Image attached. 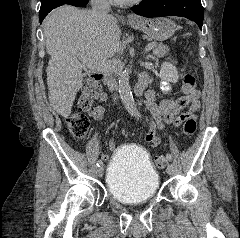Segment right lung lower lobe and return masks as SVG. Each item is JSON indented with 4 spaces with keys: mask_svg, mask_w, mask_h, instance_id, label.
Listing matches in <instances>:
<instances>
[{
    "mask_svg": "<svg viewBox=\"0 0 240 238\" xmlns=\"http://www.w3.org/2000/svg\"><path fill=\"white\" fill-rule=\"evenodd\" d=\"M89 0H70L68 3L66 4H70V5H73V6H76V7H82V6H85L87 3H88ZM65 3H60L58 4L56 7H59L61 5H63ZM55 7V8H56ZM48 14V13H47ZM46 14V15H47ZM46 15H43V16H39V19H40V22H42V20L45 18Z\"/></svg>",
    "mask_w": 240,
    "mask_h": 238,
    "instance_id": "obj_1",
    "label": "right lung lower lobe"
}]
</instances>
